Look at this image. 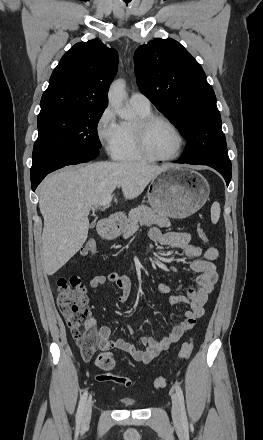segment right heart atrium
<instances>
[{
  "label": "right heart atrium",
  "mask_w": 263,
  "mask_h": 440,
  "mask_svg": "<svg viewBox=\"0 0 263 440\" xmlns=\"http://www.w3.org/2000/svg\"><path fill=\"white\" fill-rule=\"evenodd\" d=\"M95 130L98 141L105 151L115 155L121 141L122 130L110 106L105 107L100 113Z\"/></svg>",
  "instance_id": "obj_1"
}]
</instances>
